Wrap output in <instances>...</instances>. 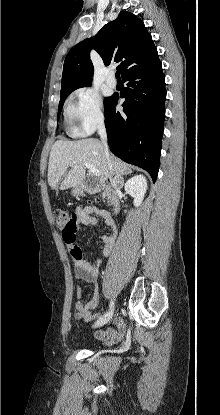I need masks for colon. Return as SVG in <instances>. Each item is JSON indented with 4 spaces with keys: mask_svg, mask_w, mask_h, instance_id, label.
<instances>
[{
    "mask_svg": "<svg viewBox=\"0 0 220 415\" xmlns=\"http://www.w3.org/2000/svg\"><path fill=\"white\" fill-rule=\"evenodd\" d=\"M54 220L61 231L65 232L68 235V238L72 240L74 238V229L72 228L74 224V214L59 209L54 212Z\"/></svg>",
    "mask_w": 220,
    "mask_h": 415,
    "instance_id": "1",
    "label": "colon"
}]
</instances>
